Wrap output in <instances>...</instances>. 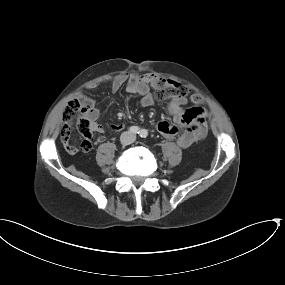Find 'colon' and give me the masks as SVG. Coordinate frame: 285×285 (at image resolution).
Listing matches in <instances>:
<instances>
[{"label":"colon","instance_id":"1","mask_svg":"<svg viewBox=\"0 0 285 285\" xmlns=\"http://www.w3.org/2000/svg\"><path fill=\"white\" fill-rule=\"evenodd\" d=\"M155 92L160 99H168L173 97H184L187 96L189 91L184 85L177 83L175 81H167L162 78H157L155 81ZM191 102L199 107L201 104V98L198 95L191 96ZM91 110L90 101L84 97H77L71 101L66 106L64 112V127L61 131V137L64 139L66 137V130L68 123L72 120L76 122L77 129L85 137V139H91V123L87 117Z\"/></svg>","mask_w":285,"mask_h":285}]
</instances>
